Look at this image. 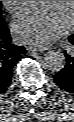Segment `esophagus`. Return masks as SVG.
I'll list each match as a JSON object with an SVG mask.
<instances>
[{"instance_id": "34e87169", "label": "esophagus", "mask_w": 74, "mask_h": 122, "mask_svg": "<svg viewBox=\"0 0 74 122\" xmlns=\"http://www.w3.org/2000/svg\"><path fill=\"white\" fill-rule=\"evenodd\" d=\"M49 48H50L49 46H44V45H29V46L26 47V49L30 53L45 51V50H48Z\"/></svg>"}]
</instances>
